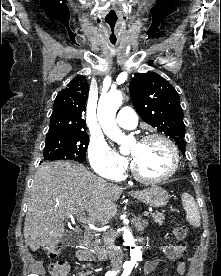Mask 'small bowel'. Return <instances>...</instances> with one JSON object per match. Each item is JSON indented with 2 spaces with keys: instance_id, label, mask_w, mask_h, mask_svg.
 <instances>
[{
  "instance_id": "1",
  "label": "small bowel",
  "mask_w": 221,
  "mask_h": 276,
  "mask_svg": "<svg viewBox=\"0 0 221 276\" xmlns=\"http://www.w3.org/2000/svg\"><path fill=\"white\" fill-rule=\"evenodd\" d=\"M184 253H185V247L176 245V246H171L167 250L166 257L173 262L177 263L176 266V272L178 275H183L186 271V266L183 261L184 259ZM78 259L80 261H94V256L85 250H78L76 253ZM159 259H153L149 260L145 263L144 265V275L147 276L149 275L158 265Z\"/></svg>"
}]
</instances>
